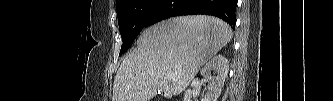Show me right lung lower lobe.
Here are the masks:
<instances>
[{"mask_svg": "<svg viewBox=\"0 0 333 101\" xmlns=\"http://www.w3.org/2000/svg\"><path fill=\"white\" fill-rule=\"evenodd\" d=\"M236 5L237 0H165L151 24L173 16L205 14L219 17L235 29Z\"/></svg>", "mask_w": 333, "mask_h": 101, "instance_id": "1", "label": "right lung lower lobe"}]
</instances>
